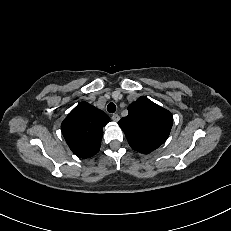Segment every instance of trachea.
I'll return each mask as SVG.
<instances>
[{
	"mask_svg": "<svg viewBox=\"0 0 231 231\" xmlns=\"http://www.w3.org/2000/svg\"><path fill=\"white\" fill-rule=\"evenodd\" d=\"M107 111L110 113H114L116 111V105L113 102L109 103L107 106Z\"/></svg>",
	"mask_w": 231,
	"mask_h": 231,
	"instance_id": "3493384b",
	"label": "trachea"
}]
</instances>
